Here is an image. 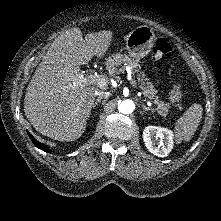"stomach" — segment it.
<instances>
[{
	"mask_svg": "<svg viewBox=\"0 0 221 221\" xmlns=\"http://www.w3.org/2000/svg\"><path fill=\"white\" fill-rule=\"evenodd\" d=\"M154 41L155 33L151 27L142 25L135 28L126 36V48L129 56L139 61L151 51Z\"/></svg>",
	"mask_w": 221,
	"mask_h": 221,
	"instance_id": "1",
	"label": "stomach"
}]
</instances>
